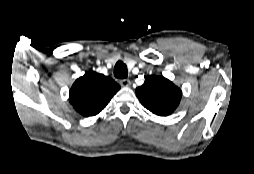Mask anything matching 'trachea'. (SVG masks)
I'll return each instance as SVG.
<instances>
[{
	"label": "trachea",
	"instance_id": "obj_1",
	"mask_svg": "<svg viewBox=\"0 0 254 174\" xmlns=\"http://www.w3.org/2000/svg\"><path fill=\"white\" fill-rule=\"evenodd\" d=\"M114 76L118 79H125L128 76V70L123 62H117L114 67Z\"/></svg>",
	"mask_w": 254,
	"mask_h": 174
}]
</instances>
